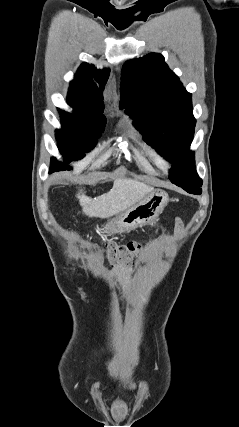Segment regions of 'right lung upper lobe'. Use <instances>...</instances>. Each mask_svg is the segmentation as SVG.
Segmentation results:
<instances>
[{"label":"right lung upper lobe","instance_id":"obj_1","mask_svg":"<svg viewBox=\"0 0 239 427\" xmlns=\"http://www.w3.org/2000/svg\"><path fill=\"white\" fill-rule=\"evenodd\" d=\"M92 76L100 84L98 89ZM109 76V70H97L94 65L83 63L75 80L70 83L67 102L77 112L85 114L103 115L104 102L102 90Z\"/></svg>","mask_w":239,"mask_h":427}]
</instances>
